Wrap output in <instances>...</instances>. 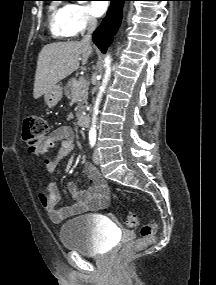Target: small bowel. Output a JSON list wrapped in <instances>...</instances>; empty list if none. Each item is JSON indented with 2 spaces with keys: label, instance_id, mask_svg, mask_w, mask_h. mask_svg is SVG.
Wrapping results in <instances>:
<instances>
[{
  "label": "small bowel",
  "instance_id": "obj_1",
  "mask_svg": "<svg viewBox=\"0 0 216 285\" xmlns=\"http://www.w3.org/2000/svg\"><path fill=\"white\" fill-rule=\"evenodd\" d=\"M59 145L57 155L49 157L50 150ZM75 152L74 132L70 126H60L50 133L43 141L40 154L45 156L46 166L49 172L55 169V160L71 155ZM83 172L91 181L92 187L82 189L75 183H68V190L75 203L66 207H59V194L55 183H49L46 188L40 192V201L46 210L49 218L54 223L62 221L93 210L106 208L109 204V188L99 171L91 164L85 163Z\"/></svg>",
  "mask_w": 216,
  "mask_h": 285
}]
</instances>
